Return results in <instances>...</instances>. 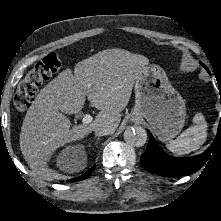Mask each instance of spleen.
I'll return each mask as SVG.
<instances>
[{
    "label": "spleen",
    "instance_id": "obj_1",
    "mask_svg": "<svg viewBox=\"0 0 221 221\" xmlns=\"http://www.w3.org/2000/svg\"><path fill=\"white\" fill-rule=\"evenodd\" d=\"M194 123L180 136L166 144L167 149L177 155L188 154L199 149L207 137V122L201 112L195 114L192 119Z\"/></svg>",
    "mask_w": 221,
    "mask_h": 221
}]
</instances>
